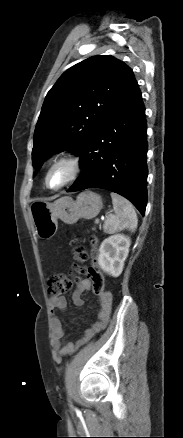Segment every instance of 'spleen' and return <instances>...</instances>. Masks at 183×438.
I'll return each instance as SVG.
<instances>
[{"mask_svg": "<svg viewBox=\"0 0 183 438\" xmlns=\"http://www.w3.org/2000/svg\"><path fill=\"white\" fill-rule=\"evenodd\" d=\"M114 214L106 216L103 225L105 233L113 234L124 229L135 232L138 224L136 212L132 204L124 197L111 193Z\"/></svg>", "mask_w": 183, "mask_h": 438, "instance_id": "spleen-1", "label": "spleen"}]
</instances>
